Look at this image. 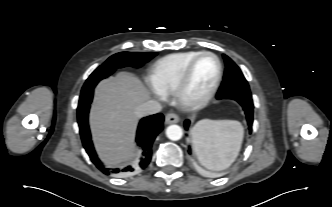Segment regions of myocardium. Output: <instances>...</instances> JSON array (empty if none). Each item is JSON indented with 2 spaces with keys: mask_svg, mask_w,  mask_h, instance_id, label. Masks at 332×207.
<instances>
[{
  "mask_svg": "<svg viewBox=\"0 0 332 207\" xmlns=\"http://www.w3.org/2000/svg\"><path fill=\"white\" fill-rule=\"evenodd\" d=\"M205 56H211L216 60L217 63V73L214 79L213 84L210 89L202 96L191 98L188 96V88L190 80L193 74V70L200 59ZM223 67L219 57L212 52H201L195 58H193L190 63L187 65L185 70L182 73V76L174 90V97L176 102L184 109H197L205 104H207L216 94L221 79H222Z\"/></svg>",
  "mask_w": 332,
  "mask_h": 207,
  "instance_id": "f54148a6",
  "label": "myocardium"
}]
</instances>
